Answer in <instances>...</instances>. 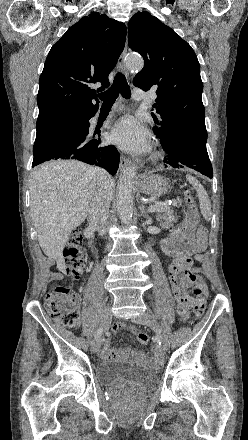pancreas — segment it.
I'll return each instance as SVG.
<instances>
[{
	"instance_id": "1",
	"label": "pancreas",
	"mask_w": 248,
	"mask_h": 440,
	"mask_svg": "<svg viewBox=\"0 0 248 440\" xmlns=\"http://www.w3.org/2000/svg\"><path fill=\"white\" fill-rule=\"evenodd\" d=\"M157 220L160 222L159 225L162 228L172 227L173 224L177 222V218L174 216L171 207H168V209L162 213H158Z\"/></svg>"
}]
</instances>
